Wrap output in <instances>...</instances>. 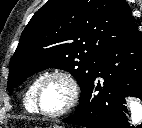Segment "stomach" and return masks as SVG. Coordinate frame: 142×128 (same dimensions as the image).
Masks as SVG:
<instances>
[{
	"instance_id": "0dacf381",
	"label": "stomach",
	"mask_w": 142,
	"mask_h": 128,
	"mask_svg": "<svg viewBox=\"0 0 142 128\" xmlns=\"http://www.w3.org/2000/svg\"><path fill=\"white\" fill-rule=\"evenodd\" d=\"M50 128H62V127H59V126L55 125V126L50 127Z\"/></svg>"
}]
</instances>
